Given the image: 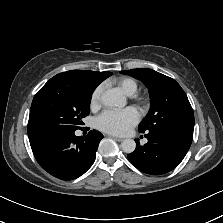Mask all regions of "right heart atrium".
Segmentation results:
<instances>
[{"mask_svg":"<svg viewBox=\"0 0 223 223\" xmlns=\"http://www.w3.org/2000/svg\"><path fill=\"white\" fill-rule=\"evenodd\" d=\"M101 93H102V87L97 86L91 96H90V105L92 108H97L100 105V98H101Z\"/></svg>","mask_w":223,"mask_h":223,"instance_id":"1","label":"right heart atrium"}]
</instances>
